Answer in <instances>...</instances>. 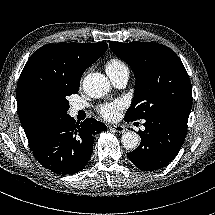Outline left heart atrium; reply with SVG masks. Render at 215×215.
I'll list each match as a JSON object with an SVG mask.
<instances>
[{"label":"left heart atrium","instance_id":"1","mask_svg":"<svg viewBox=\"0 0 215 215\" xmlns=\"http://www.w3.org/2000/svg\"><path fill=\"white\" fill-rule=\"evenodd\" d=\"M125 108V102L117 99L112 102H107L97 107V112L105 120L112 121L118 118L120 111Z\"/></svg>","mask_w":215,"mask_h":215}]
</instances>
